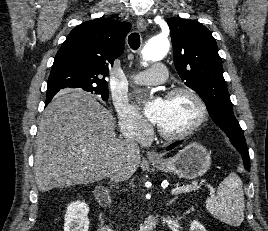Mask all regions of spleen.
I'll return each mask as SVG.
<instances>
[{
    "label": "spleen",
    "mask_w": 268,
    "mask_h": 231,
    "mask_svg": "<svg viewBox=\"0 0 268 231\" xmlns=\"http://www.w3.org/2000/svg\"><path fill=\"white\" fill-rule=\"evenodd\" d=\"M244 207L242 181L236 173H230L219 184L216 195L206 201L207 210L231 226L241 225L244 220Z\"/></svg>",
    "instance_id": "1"
}]
</instances>
